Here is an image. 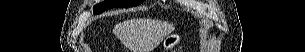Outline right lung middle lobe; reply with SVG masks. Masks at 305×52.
I'll return each instance as SVG.
<instances>
[{
    "label": "right lung middle lobe",
    "instance_id": "dd1d6c3e",
    "mask_svg": "<svg viewBox=\"0 0 305 52\" xmlns=\"http://www.w3.org/2000/svg\"><path fill=\"white\" fill-rule=\"evenodd\" d=\"M143 0H106L94 7V13L99 14L114 7H132L140 4Z\"/></svg>",
    "mask_w": 305,
    "mask_h": 52
}]
</instances>
